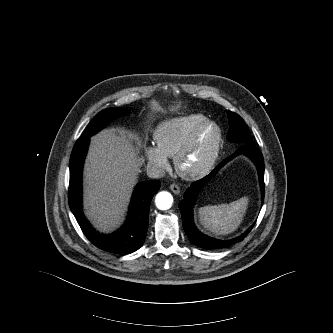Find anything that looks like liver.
<instances>
[{"label":"liver","mask_w":333,"mask_h":333,"mask_svg":"<svg viewBox=\"0 0 333 333\" xmlns=\"http://www.w3.org/2000/svg\"><path fill=\"white\" fill-rule=\"evenodd\" d=\"M133 134L105 129L91 138L85 164L84 206L97 229L109 232L123 220L143 163Z\"/></svg>","instance_id":"1"}]
</instances>
